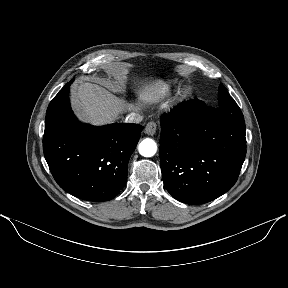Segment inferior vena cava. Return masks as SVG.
<instances>
[{
	"label": "inferior vena cava",
	"mask_w": 288,
	"mask_h": 288,
	"mask_svg": "<svg viewBox=\"0 0 288 288\" xmlns=\"http://www.w3.org/2000/svg\"><path fill=\"white\" fill-rule=\"evenodd\" d=\"M141 121L142 116L136 113L129 114L125 119L126 123H140Z\"/></svg>",
	"instance_id": "1"
}]
</instances>
